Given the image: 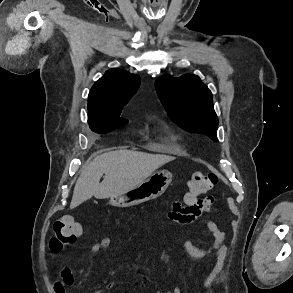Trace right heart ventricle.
I'll return each instance as SVG.
<instances>
[{
  "label": "right heart ventricle",
  "mask_w": 293,
  "mask_h": 293,
  "mask_svg": "<svg viewBox=\"0 0 293 293\" xmlns=\"http://www.w3.org/2000/svg\"><path fill=\"white\" fill-rule=\"evenodd\" d=\"M176 137L175 136H172V139H175Z\"/></svg>",
  "instance_id": "right-heart-ventricle-1"
}]
</instances>
